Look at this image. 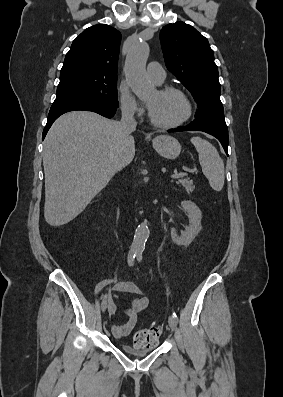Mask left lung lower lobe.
<instances>
[{"label": "left lung lower lobe", "mask_w": 283, "mask_h": 397, "mask_svg": "<svg viewBox=\"0 0 283 397\" xmlns=\"http://www.w3.org/2000/svg\"><path fill=\"white\" fill-rule=\"evenodd\" d=\"M203 131L216 137L222 144L226 154L228 155V128L225 120L212 117L195 118L190 124L184 127H178L169 132L179 131Z\"/></svg>", "instance_id": "0a47b994"}]
</instances>
